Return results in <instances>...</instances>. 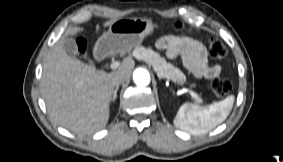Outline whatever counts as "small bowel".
Wrapping results in <instances>:
<instances>
[{
    "label": "small bowel",
    "instance_id": "c3829d8e",
    "mask_svg": "<svg viewBox=\"0 0 283 162\" xmlns=\"http://www.w3.org/2000/svg\"><path fill=\"white\" fill-rule=\"evenodd\" d=\"M157 48L164 50L169 59L180 57L184 66L197 78L213 79L221 73V66L211 65L205 47L194 39L165 36L158 40Z\"/></svg>",
    "mask_w": 283,
    "mask_h": 162
}]
</instances>
